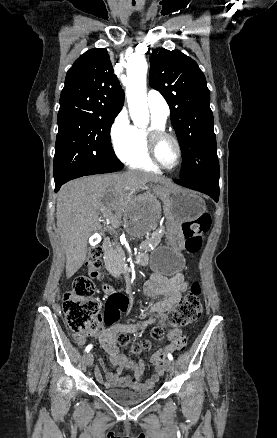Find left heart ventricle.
Instances as JSON below:
<instances>
[{"mask_svg": "<svg viewBox=\"0 0 277 438\" xmlns=\"http://www.w3.org/2000/svg\"><path fill=\"white\" fill-rule=\"evenodd\" d=\"M159 157L162 163L168 167H171L176 162L177 150L175 144L169 140L165 139L159 148Z\"/></svg>", "mask_w": 277, "mask_h": 438, "instance_id": "obj_1", "label": "left heart ventricle"}]
</instances>
